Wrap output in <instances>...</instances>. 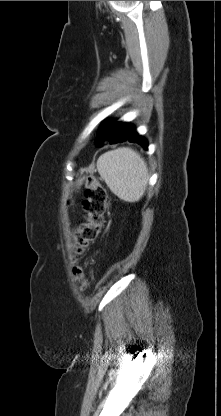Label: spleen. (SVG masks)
Masks as SVG:
<instances>
[{
	"label": "spleen",
	"mask_w": 221,
	"mask_h": 416,
	"mask_svg": "<svg viewBox=\"0 0 221 416\" xmlns=\"http://www.w3.org/2000/svg\"><path fill=\"white\" fill-rule=\"evenodd\" d=\"M97 169L110 190L126 202L139 201L149 179L147 164L140 154L121 147L102 154Z\"/></svg>",
	"instance_id": "obj_1"
}]
</instances>
